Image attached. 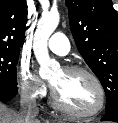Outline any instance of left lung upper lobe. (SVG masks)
<instances>
[{
  "label": "left lung upper lobe",
  "mask_w": 118,
  "mask_h": 123,
  "mask_svg": "<svg viewBox=\"0 0 118 123\" xmlns=\"http://www.w3.org/2000/svg\"><path fill=\"white\" fill-rule=\"evenodd\" d=\"M72 35L100 80L106 114L118 111V14L111 0H66Z\"/></svg>",
  "instance_id": "left-lung-upper-lobe-1"
}]
</instances>
